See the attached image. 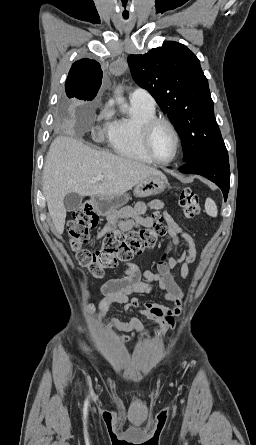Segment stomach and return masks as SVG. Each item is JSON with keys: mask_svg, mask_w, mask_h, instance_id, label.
Returning a JSON list of instances; mask_svg holds the SVG:
<instances>
[{"mask_svg": "<svg viewBox=\"0 0 256 445\" xmlns=\"http://www.w3.org/2000/svg\"><path fill=\"white\" fill-rule=\"evenodd\" d=\"M167 184L168 181L164 175H153L135 186L134 195L139 198L158 195L165 190ZM128 200L129 197L126 194L111 197L94 196L92 203L99 214L106 216L109 220H116L121 217L119 209L127 204Z\"/></svg>", "mask_w": 256, "mask_h": 445, "instance_id": "stomach-1", "label": "stomach"}]
</instances>
